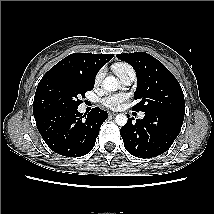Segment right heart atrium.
Here are the masks:
<instances>
[{
    "label": "right heart atrium",
    "instance_id": "d8ad5b80",
    "mask_svg": "<svg viewBox=\"0 0 214 214\" xmlns=\"http://www.w3.org/2000/svg\"><path fill=\"white\" fill-rule=\"evenodd\" d=\"M101 78V72H99L96 76V80H99Z\"/></svg>",
    "mask_w": 214,
    "mask_h": 214
}]
</instances>
